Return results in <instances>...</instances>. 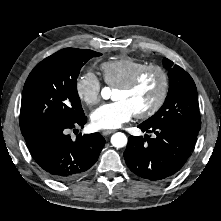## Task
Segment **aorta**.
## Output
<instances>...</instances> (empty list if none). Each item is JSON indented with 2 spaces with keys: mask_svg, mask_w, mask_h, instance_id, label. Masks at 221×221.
Listing matches in <instances>:
<instances>
[{
  "mask_svg": "<svg viewBox=\"0 0 221 221\" xmlns=\"http://www.w3.org/2000/svg\"><path fill=\"white\" fill-rule=\"evenodd\" d=\"M101 96L103 99H108L110 97V89L105 87L101 91ZM111 144L116 148L124 147L127 144V137L122 132H117L111 137Z\"/></svg>",
  "mask_w": 221,
  "mask_h": 221,
  "instance_id": "obj_1",
  "label": "aorta"
}]
</instances>
